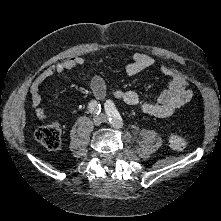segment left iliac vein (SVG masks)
Returning <instances> with one entry per match:
<instances>
[{"label": "left iliac vein", "instance_id": "left-iliac-vein-1", "mask_svg": "<svg viewBox=\"0 0 221 221\" xmlns=\"http://www.w3.org/2000/svg\"><path fill=\"white\" fill-rule=\"evenodd\" d=\"M102 117H103V122H107L106 116L102 115ZM115 128H116V127H115ZM118 129H119V128H118Z\"/></svg>", "mask_w": 221, "mask_h": 221}]
</instances>
